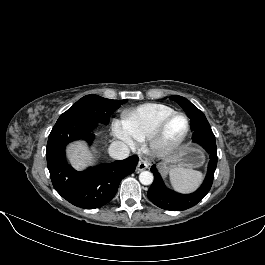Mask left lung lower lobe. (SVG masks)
Here are the masks:
<instances>
[{
  "mask_svg": "<svg viewBox=\"0 0 265 265\" xmlns=\"http://www.w3.org/2000/svg\"><path fill=\"white\" fill-rule=\"evenodd\" d=\"M192 131L193 142L201 145L210 155L207 175L203 184L194 193L180 194L165 187L156 166L153 165L150 170L154 174V182L149 188L147 196L152 203L162 209L182 211L191 208L200 202L211 189L214 172L217 166V147L215 136L210 125H201L192 129Z\"/></svg>",
  "mask_w": 265,
  "mask_h": 265,
  "instance_id": "0a47b994",
  "label": "left lung lower lobe"
}]
</instances>
